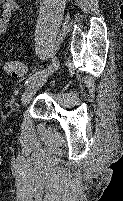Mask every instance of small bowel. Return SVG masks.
Masks as SVG:
<instances>
[{
	"mask_svg": "<svg viewBox=\"0 0 123 201\" xmlns=\"http://www.w3.org/2000/svg\"><path fill=\"white\" fill-rule=\"evenodd\" d=\"M19 6V0H3L0 12V35L7 31L12 21L13 13Z\"/></svg>",
	"mask_w": 123,
	"mask_h": 201,
	"instance_id": "obj_1",
	"label": "small bowel"
}]
</instances>
